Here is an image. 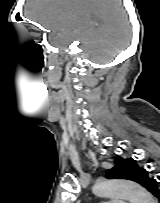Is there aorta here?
Wrapping results in <instances>:
<instances>
[{"label":"aorta","instance_id":"obj_1","mask_svg":"<svg viewBox=\"0 0 160 203\" xmlns=\"http://www.w3.org/2000/svg\"><path fill=\"white\" fill-rule=\"evenodd\" d=\"M93 192L99 196H117L130 203H156L152 195L139 184L124 180H104L98 182Z\"/></svg>","mask_w":160,"mask_h":203}]
</instances>
